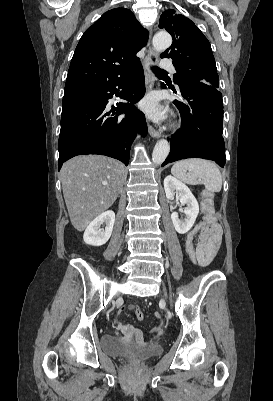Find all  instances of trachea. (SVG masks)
<instances>
[{
    "instance_id": "trachea-1",
    "label": "trachea",
    "mask_w": 273,
    "mask_h": 401,
    "mask_svg": "<svg viewBox=\"0 0 273 401\" xmlns=\"http://www.w3.org/2000/svg\"><path fill=\"white\" fill-rule=\"evenodd\" d=\"M151 70H152L156 75H157V74H160V73H166L165 70H162L161 68L155 67V66H152V67H151Z\"/></svg>"
}]
</instances>
